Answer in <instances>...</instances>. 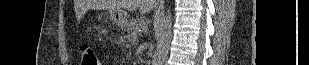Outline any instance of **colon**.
I'll use <instances>...</instances> for the list:
<instances>
[{"label": "colon", "mask_w": 309, "mask_h": 65, "mask_svg": "<svg viewBox=\"0 0 309 65\" xmlns=\"http://www.w3.org/2000/svg\"><path fill=\"white\" fill-rule=\"evenodd\" d=\"M82 65H100L93 47L89 43L80 46Z\"/></svg>", "instance_id": "5ec220e1"}]
</instances>
